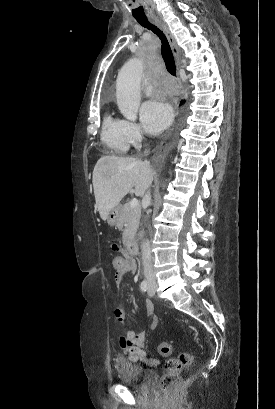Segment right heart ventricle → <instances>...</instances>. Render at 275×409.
Returning a JSON list of instances; mask_svg holds the SVG:
<instances>
[{"label":"right heart ventricle","mask_w":275,"mask_h":409,"mask_svg":"<svg viewBox=\"0 0 275 409\" xmlns=\"http://www.w3.org/2000/svg\"><path fill=\"white\" fill-rule=\"evenodd\" d=\"M163 66V63H161ZM101 139L108 152L112 155L126 154L130 142L127 136L125 122L106 115L102 125Z\"/></svg>","instance_id":"1"}]
</instances>
